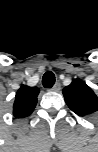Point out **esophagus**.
Listing matches in <instances>:
<instances>
[{
	"mask_svg": "<svg viewBox=\"0 0 98 152\" xmlns=\"http://www.w3.org/2000/svg\"><path fill=\"white\" fill-rule=\"evenodd\" d=\"M61 89V84L59 82L55 83V85L51 88V91L58 92Z\"/></svg>",
	"mask_w": 98,
	"mask_h": 152,
	"instance_id": "34e87169",
	"label": "esophagus"
}]
</instances>
